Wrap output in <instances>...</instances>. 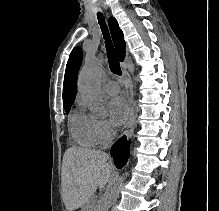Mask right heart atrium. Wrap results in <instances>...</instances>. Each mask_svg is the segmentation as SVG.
Here are the masks:
<instances>
[{"label": "right heart atrium", "mask_w": 219, "mask_h": 211, "mask_svg": "<svg viewBox=\"0 0 219 211\" xmlns=\"http://www.w3.org/2000/svg\"><path fill=\"white\" fill-rule=\"evenodd\" d=\"M94 132L98 144L102 146H109L112 144L116 136V130L114 129L113 125L106 119L94 120Z\"/></svg>", "instance_id": "1"}]
</instances>
